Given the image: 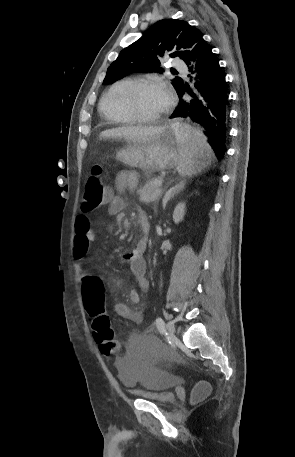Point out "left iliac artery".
<instances>
[{"label": "left iliac artery", "instance_id": "1", "mask_svg": "<svg viewBox=\"0 0 295 457\" xmlns=\"http://www.w3.org/2000/svg\"><path fill=\"white\" fill-rule=\"evenodd\" d=\"M156 323V326L158 328V330L161 332V333H164L165 332V323H164V320L161 318V317H158L155 321Z\"/></svg>", "mask_w": 295, "mask_h": 457}]
</instances>
